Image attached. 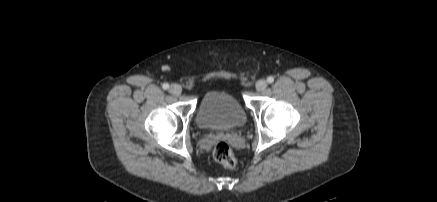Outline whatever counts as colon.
<instances>
[{
  "instance_id": "obj_1",
  "label": "colon",
  "mask_w": 437,
  "mask_h": 202,
  "mask_svg": "<svg viewBox=\"0 0 437 202\" xmlns=\"http://www.w3.org/2000/svg\"><path fill=\"white\" fill-rule=\"evenodd\" d=\"M213 158L227 168H234L236 166L235 154L226 142H220L215 146Z\"/></svg>"
}]
</instances>
